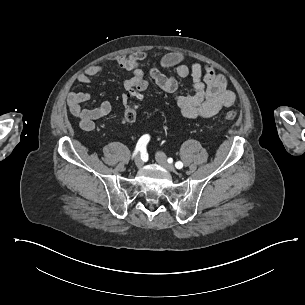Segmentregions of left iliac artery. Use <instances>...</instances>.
<instances>
[{"instance_id": "1", "label": "left iliac artery", "mask_w": 305, "mask_h": 305, "mask_svg": "<svg viewBox=\"0 0 305 305\" xmlns=\"http://www.w3.org/2000/svg\"><path fill=\"white\" fill-rule=\"evenodd\" d=\"M175 167H176L177 169H181V168L183 167V163L180 162V161H178V162L175 163Z\"/></svg>"}]
</instances>
